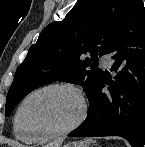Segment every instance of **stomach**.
I'll use <instances>...</instances> for the list:
<instances>
[{"label":"stomach","instance_id":"stomach-1","mask_svg":"<svg viewBox=\"0 0 145 147\" xmlns=\"http://www.w3.org/2000/svg\"><path fill=\"white\" fill-rule=\"evenodd\" d=\"M64 147H88V144L86 142H71L69 144H66Z\"/></svg>","mask_w":145,"mask_h":147}]
</instances>
